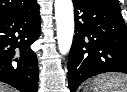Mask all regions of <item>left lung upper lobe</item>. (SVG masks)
Returning <instances> with one entry per match:
<instances>
[{"label": "left lung upper lobe", "mask_w": 127, "mask_h": 92, "mask_svg": "<svg viewBox=\"0 0 127 92\" xmlns=\"http://www.w3.org/2000/svg\"><path fill=\"white\" fill-rule=\"evenodd\" d=\"M94 6L120 11L117 0H81Z\"/></svg>", "instance_id": "obj_1"}]
</instances>
